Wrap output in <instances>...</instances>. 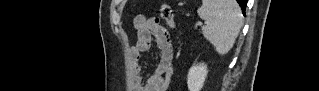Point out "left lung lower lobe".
I'll return each mask as SVG.
<instances>
[{
    "label": "left lung lower lobe",
    "instance_id": "1",
    "mask_svg": "<svg viewBox=\"0 0 319 91\" xmlns=\"http://www.w3.org/2000/svg\"><path fill=\"white\" fill-rule=\"evenodd\" d=\"M236 1L239 3V5L242 9L243 15H245V8H246L247 0H236Z\"/></svg>",
    "mask_w": 319,
    "mask_h": 91
}]
</instances>
